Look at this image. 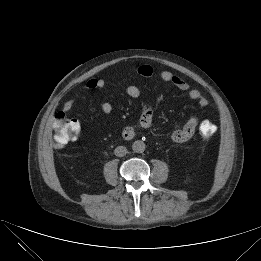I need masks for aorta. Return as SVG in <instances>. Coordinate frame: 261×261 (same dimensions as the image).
Segmentation results:
<instances>
[{"mask_svg": "<svg viewBox=\"0 0 261 261\" xmlns=\"http://www.w3.org/2000/svg\"><path fill=\"white\" fill-rule=\"evenodd\" d=\"M146 145L143 141L137 140L132 144V150L135 153H143L145 151Z\"/></svg>", "mask_w": 261, "mask_h": 261, "instance_id": "762f6f07", "label": "aorta"}]
</instances>
